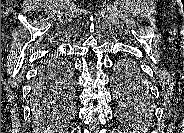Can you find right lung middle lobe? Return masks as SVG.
I'll use <instances>...</instances> for the list:
<instances>
[{
    "label": "right lung middle lobe",
    "mask_w": 184,
    "mask_h": 133,
    "mask_svg": "<svg viewBox=\"0 0 184 133\" xmlns=\"http://www.w3.org/2000/svg\"><path fill=\"white\" fill-rule=\"evenodd\" d=\"M72 84L69 63L56 56L47 57L39 67L32 91V108L36 116L46 115L66 103L64 94Z\"/></svg>",
    "instance_id": "1"
}]
</instances>
